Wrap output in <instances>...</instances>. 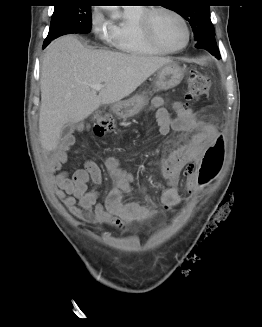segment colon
<instances>
[{
	"label": "colon",
	"mask_w": 262,
	"mask_h": 327,
	"mask_svg": "<svg viewBox=\"0 0 262 327\" xmlns=\"http://www.w3.org/2000/svg\"><path fill=\"white\" fill-rule=\"evenodd\" d=\"M210 88L209 78L199 71H191L187 78L186 99L194 101L208 95ZM114 118L106 110L97 111L93 116V131L98 136H103L114 129ZM224 159V143L221 138L207 148L202 158L196 165L194 181L197 187L201 188L209 184L219 172ZM194 200L193 196L187 199Z\"/></svg>",
	"instance_id": "1"
}]
</instances>
